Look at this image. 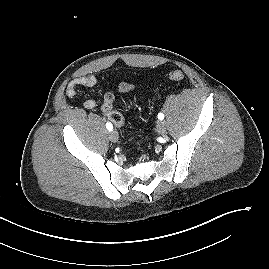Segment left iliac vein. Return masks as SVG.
Segmentation results:
<instances>
[{"instance_id": "4c4485c4", "label": "left iliac vein", "mask_w": 269, "mask_h": 269, "mask_svg": "<svg viewBox=\"0 0 269 269\" xmlns=\"http://www.w3.org/2000/svg\"><path fill=\"white\" fill-rule=\"evenodd\" d=\"M156 131L159 134H164L166 132V122L165 121H159L156 126Z\"/></svg>"}]
</instances>
